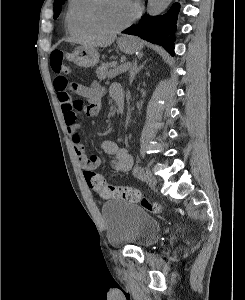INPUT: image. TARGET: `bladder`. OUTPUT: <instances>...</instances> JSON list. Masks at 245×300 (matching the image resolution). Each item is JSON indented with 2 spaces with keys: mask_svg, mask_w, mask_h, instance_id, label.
Wrapping results in <instances>:
<instances>
[{
  "mask_svg": "<svg viewBox=\"0 0 245 300\" xmlns=\"http://www.w3.org/2000/svg\"><path fill=\"white\" fill-rule=\"evenodd\" d=\"M102 217L107 241L112 247L147 248L160 237V223L135 203L119 199L107 201L102 206Z\"/></svg>",
  "mask_w": 245,
  "mask_h": 300,
  "instance_id": "31cf9c89",
  "label": "bladder"
}]
</instances>
